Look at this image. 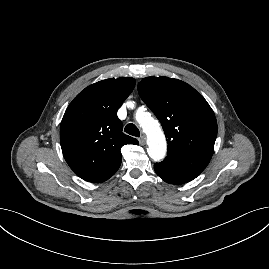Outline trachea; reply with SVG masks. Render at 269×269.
<instances>
[{
    "label": "trachea",
    "mask_w": 269,
    "mask_h": 269,
    "mask_svg": "<svg viewBox=\"0 0 269 269\" xmlns=\"http://www.w3.org/2000/svg\"><path fill=\"white\" fill-rule=\"evenodd\" d=\"M124 131L126 133H128L129 135L135 136V137H139L140 136V131L139 129L136 127V125L130 123L127 124Z\"/></svg>",
    "instance_id": "obj_1"
}]
</instances>
